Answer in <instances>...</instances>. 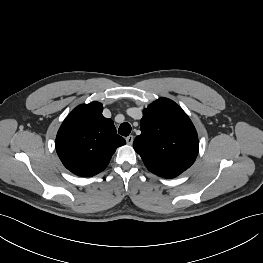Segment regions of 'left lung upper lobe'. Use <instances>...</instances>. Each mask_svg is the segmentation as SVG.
<instances>
[{
	"label": "left lung upper lobe",
	"instance_id": "left-lung-upper-lobe-1",
	"mask_svg": "<svg viewBox=\"0 0 263 263\" xmlns=\"http://www.w3.org/2000/svg\"><path fill=\"white\" fill-rule=\"evenodd\" d=\"M133 147L152 173L178 176L195 161L199 142L189 117L174 101L160 98L143 111Z\"/></svg>",
	"mask_w": 263,
	"mask_h": 263
}]
</instances>
